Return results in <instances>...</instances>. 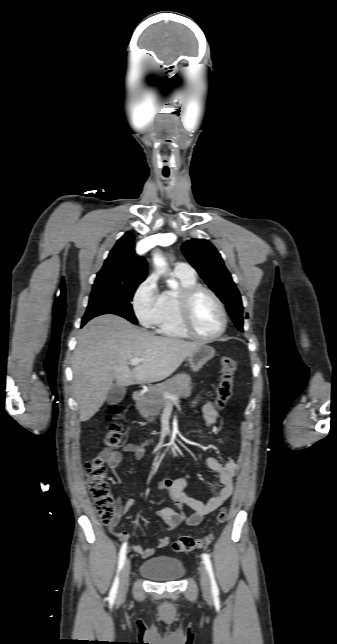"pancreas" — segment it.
Listing matches in <instances>:
<instances>
[{
	"mask_svg": "<svg viewBox=\"0 0 337 644\" xmlns=\"http://www.w3.org/2000/svg\"><path fill=\"white\" fill-rule=\"evenodd\" d=\"M191 378L188 375L180 374L166 380L161 384L150 386L148 391L137 402V408L145 418L160 413L166 402H178L179 398H188L191 395ZM164 393L174 395L177 400H170Z\"/></svg>",
	"mask_w": 337,
	"mask_h": 644,
	"instance_id": "cf45deb5",
	"label": "pancreas"
}]
</instances>
